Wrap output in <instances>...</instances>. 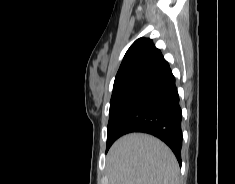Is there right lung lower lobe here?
I'll return each instance as SVG.
<instances>
[{
  "label": "right lung lower lobe",
  "mask_w": 235,
  "mask_h": 184,
  "mask_svg": "<svg viewBox=\"0 0 235 184\" xmlns=\"http://www.w3.org/2000/svg\"><path fill=\"white\" fill-rule=\"evenodd\" d=\"M181 108L175 77L167 61L127 88L109 123L114 141L144 132L166 143L181 165Z\"/></svg>",
  "instance_id": "98d812e1"
}]
</instances>
